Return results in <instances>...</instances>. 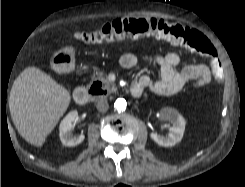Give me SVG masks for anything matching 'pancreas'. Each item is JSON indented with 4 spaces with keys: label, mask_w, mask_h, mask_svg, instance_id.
Masks as SVG:
<instances>
[{
    "label": "pancreas",
    "mask_w": 245,
    "mask_h": 187,
    "mask_svg": "<svg viewBox=\"0 0 245 187\" xmlns=\"http://www.w3.org/2000/svg\"><path fill=\"white\" fill-rule=\"evenodd\" d=\"M92 81H100L103 84V89L108 93L116 92L117 90L115 84L110 82L102 72L98 73L97 76H92Z\"/></svg>",
    "instance_id": "1"
}]
</instances>
